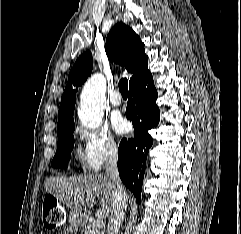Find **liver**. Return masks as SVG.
Masks as SVG:
<instances>
[{
	"label": "liver",
	"instance_id": "liver-1",
	"mask_svg": "<svg viewBox=\"0 0 241 234\" xmlns=\"http://www.w3.org/2000/svg\"><path fill=\"white\" fill-rule=\"evenodd\" d=\"M46 192L80 214L83 219L89 208L100 199L96 216L106 219L112 210V187L107 175L89 174L70 177H50L44 182Z\"/></svg>",
	"mask_w": 241,
	"mask_h": 234
}]
</instances>
